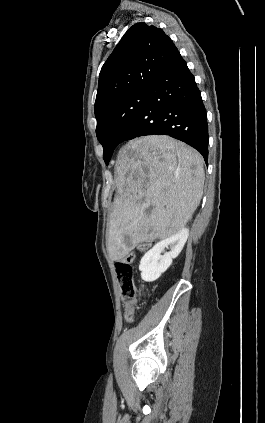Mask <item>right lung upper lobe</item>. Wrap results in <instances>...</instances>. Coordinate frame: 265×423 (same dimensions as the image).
Here are the masks:
<instances>
[{
	"label": "right lung upper lobe",
	"instance_id": "cb5924a9",
	"mask_svg": "<svg viewBox=\"0 0 265 423\" xmlns=\"http://www.w3.org/2000/svg\"><path fill=\"white\" fill-rule=\"evenodd\" d=\"M178 53L162 29L144 22L129 28L101 69L95 117L120 99L151 89Z\"/></svg>",
	"mask_w": 265,
	"mask_h": 423
}]
</instances>
